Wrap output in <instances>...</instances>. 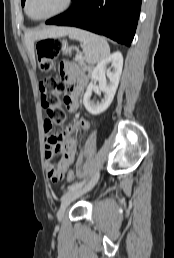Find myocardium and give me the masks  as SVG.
I'll list each match as a JSON object with an SVG mask.
<instances>
[{
    "mask_svg": "<svg viewBox=\"0 0 174 258\" xmlns=\"http://www.w3.org/2000/svg\"><path fill=\"white\" fill-rule=\"evenodd\" d=\"M72 1L73 0H64V3L62 5L61 8H59L58 10H56L55 12L53 13H50L48 15H45V16H42V17H38V18H34L32 17L30 14H29V11H28V6H29V2L30 0H25V3H24V11L26 13V15L33 21H45V20H48V19H51L53 17H56L62 13H64L67 9H69V7L71 6L72 4Z\"/></svg>",
    "mask_w": 174,
    "mask_h": 258,
    "instance_id": "myocardium-1",
    "label": "myocardium"
}]
</instances>
